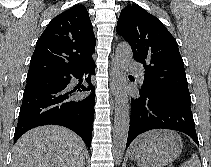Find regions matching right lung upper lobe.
Here are the masks:
<instances>
[{
    "mask_svg": "<svg viewBox=\"0 0 211 167\" xmlns=\"http://www.w3.org/2000/svg\"><path fill=\"white\" fill-rule=\"evenodd\" d=\"M95 36L89 14L75 5L50 21L36 43L27 81L84 67L93 61Z\"/></svg>",
    "mask_w": 211,
    "mask_h": 167,
    "instance_id": "right-lung-upper-lobe-1",
    "label": "right lung upper lobe"
}]
</instances>
